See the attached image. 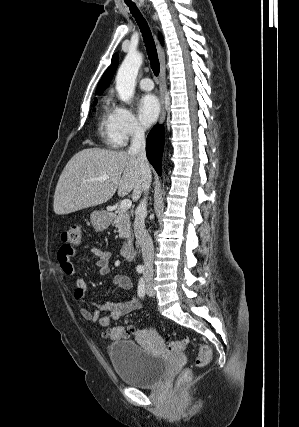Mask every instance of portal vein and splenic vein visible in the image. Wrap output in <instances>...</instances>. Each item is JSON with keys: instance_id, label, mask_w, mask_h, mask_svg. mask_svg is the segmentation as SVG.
<instances>
[{"instance_id": "obj_1", "label": "portal vein and splenic vein", "mask_w": 299, "mask_h": 427, "mask_svg": "<svg viewBox=\"0 0 299 427\" xmlns=\"http://www.w3.org/2000/svg\"><path fill=\"white\" fill-rule=\"evenodd\" d=\"M108 178H109L108 175H103V176H101L98 179H92V180H105V179H108ZM131 206H132V202L129 199L122 200L121 203H120V207L122 209H124V210L130 209Z\"/></svg>"}]
</instances>
